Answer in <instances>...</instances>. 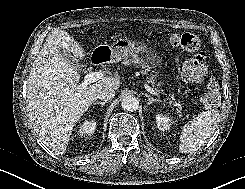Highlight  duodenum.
Here are the masks:
<instances>
[{
  "label": "duodenum",
  "mask_w": 245,
  "mask_h": 189,
  "mask_svg": "<svg viewBox=\"0 0 245 189\" xmlns=\"http://www.w3.org/2000/svg\"><path fill=\"white\" fill-rule=\"evenodd\" d=\"M111 53L109 51L94 53L91 56V62L95 65L103 62L106 59H110Z\"/></svg>",
  "instance_id": "410a0bca"
}]
</instances>
